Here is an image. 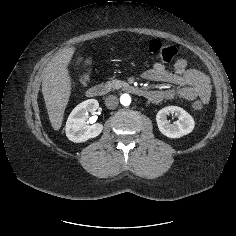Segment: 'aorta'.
I'll return each instance as SVG.
<instances>
[{"instance_id": "762f6f07", "label": "aorta", "mask_w": 236, "mask_h": 236, "mask_svg": "<svg viewBox=\"0 0 236 236\" xmlns=\"http://www.w3.org/2000/svg\"><path fill=\"white\" fill-rule=\"evenodd\" d=\"M120 102H121V104L124 105V106L130 105V103H131V97H130V95L127 94V93L122 94L121 97H120Z\"/></svg>"}]
</instances>
